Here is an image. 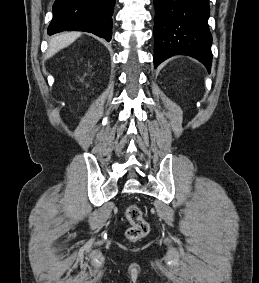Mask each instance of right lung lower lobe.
Listing matches in <instances>:
<instances>
[{"label": "right lung lower lobe", "mask_w": 259, "mask_h": 283, "mask_svg": "<svg viewBox=\"0 0 259 283\" xmlns=\"http://www.w3.org/2000/svg\"><path fill=\"white\" fill-rule=\"evenodd\" d=\"M114 5L115 0H55L48 35L62 31H85L109 42Z\"/></svg>", "instance_id": "obj_1"}]
</instances>
